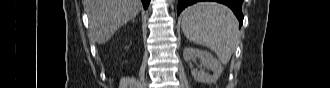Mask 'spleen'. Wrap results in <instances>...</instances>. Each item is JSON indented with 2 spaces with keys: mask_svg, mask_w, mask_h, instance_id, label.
<instances>
[{
  "mask_svg": "<svg viewBox=\"0 0 330 88\" xmlns=\"http://www.w3.org/2000/svg\"><path fill=\"white\" fill-rule=\"evenodd\" d=\"M182 31L192 43L214 51L227 64L238 45L239 30L233 12L215 2H199L181 14Z\"/></svg>",
  "mask_w": 330,
  "mask_h": 88,
  "instance_id": "spleen-1",
  "label": "spleen"
}]
</instances>
